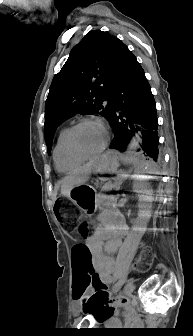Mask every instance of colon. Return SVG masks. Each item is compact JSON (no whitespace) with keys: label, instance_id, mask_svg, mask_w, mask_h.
<instances>
[{"label":"colon","instance_id":"colon-1","mask_svg":"<svg viewBox=\"0 0 193 336\" xmlns=\"http://www.w3.org/2000/svg\"><path fill=\"white\" fill-rule=\"evenodd\" d=\"M58 218L62 225L68 230L72 231L77 229L79 235L83 238H87L92 233V226L87 222L80 221V214L76 211L73 203L66 199L60 198L55 204ZM152 261V251L151 249H146L138 260V266L141 269L149 267ZM72 262L74 270L77 274V279L74 286V296L83 303V307L87 308L96 297L103 293V290H96L94 288V293L91 295L85 294V288L87 285L91 284L93 276V268L90 260V255L87 247L84 244H79L74 247L72 252ZM95 286L102 284L100 279H96L94 282ZM127 300L122 299L125 303ZM111 309V314L113 312V307Z\"/></svg>","mask_w":193,"mask_h":336}]
</instances>
